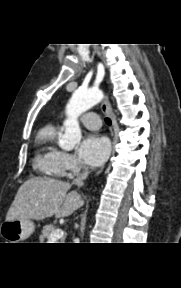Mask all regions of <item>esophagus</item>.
Listing matches in <instances>:
<instances>
[{
	"label": "esophagus",
	"mask_w": 181,
	"mask_h": 288,
	"mask_svg": "<svg viewBox=\"0 0 181 288\" xmlns=\"http://www.w3.org/2000/svg\"><path fill=\"white\" fill-rule=\"evenodd\" d=\"M101 109L107 116H109L111 118L112 125L114 126L116 124V117L113 113L111 104L108 100V96H106L104 101L102 102ZM102 171H103V168L97 173V175L101 174Z\"/></svg>",
	"instance_id": "esophagus-1"
}]
</instances>
